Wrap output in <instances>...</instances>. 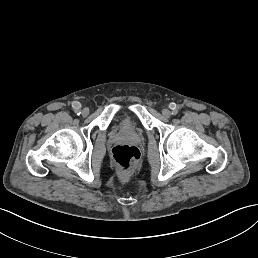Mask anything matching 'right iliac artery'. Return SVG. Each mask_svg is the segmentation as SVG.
<instances>
[{
    "label": "right iliac artery",
    "instance_id": "1",
    "mask_svg": "<svg viewBox=\"0 0 258 258\" xmlns=\"http://www.w3.org/2000/svg\"><path fill=\"white\" fill-rule=\"evenodd\" d=\"M75 113H76V115L79 116L81 114V111L80 110H76Z\"/></svg>",
    "mask_w": 258,
    "mask_h": 258
}]
</instances>
